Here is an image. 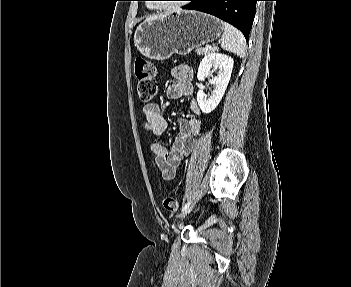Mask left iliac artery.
Segmentation results:
<instances>
[{
  "label": "left iliac artery",
  "mask_w": 351,
  "mask_h": 287,
  "mask_svg": "<svg viewBox=\"0 0 351 287\" xmlns=\"http://www.w3.org/2000/svg\"><path fill=\"white\" fill-rule=\"evenodd\" d=\"M189 206H190V202L184 204V205L182 206L181 211H182V212L185 211Z\"/></svg>",
  "instance_id": "44dca946"
}]
</instances>
